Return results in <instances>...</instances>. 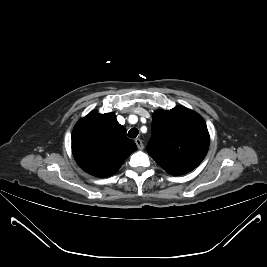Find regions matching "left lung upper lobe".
<instances>
[{"label": "left lung upper lobe", "mask_w": 267, "mask_h": 267, "mask_svg": "<svg viewBox=\"0 0 267 267\" xmlns=\"http://www.w3.org/2000/svg\"><path fill=\"white\" fill-rule=\"evenodd\" d=\"M209 133L203 118L184 106L153 114L149 155L169 174L195 169L207 154Z\"/></svg>", "instance_id": "1"}]
</instances>
